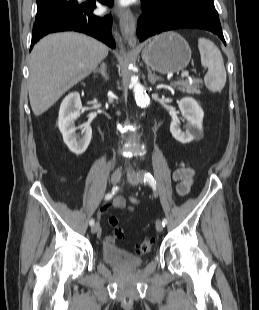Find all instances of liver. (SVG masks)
<instances>
[{
  "mask_svg": "<svg viewBox=\"0 0 259 310\" xmlns=\"http://www.w3.org/2000/svg\"><path fill=\"white\" fill-rule=\"evenodd\" d=\"M108 55L100 41L75 32L44 37L29 64V99L36 116L47 111L71 87L87 77Z\"/></svg>",
  "mask_w": 259,
  "mask_h": 310,
  "instance_id": "liver-1",
  "label": "liver"
}]
</instances>
